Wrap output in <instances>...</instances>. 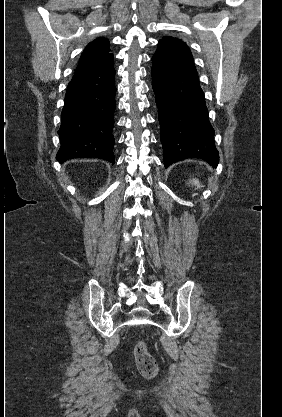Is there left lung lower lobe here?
Returning <instances> with one entry per match:
<instances>
[{
	"mask_svg": "<svg viewBox=\"0 0 282 417\" xmlns=\"http://www.w3.org/2000/svg\"><path fill=\"white\" fill-rule=\"evenodd\" d=\"M152 61L165 168L187 158L216 167L214 129L189 48L184 42L160 40Z\"/></svg>",
	"mask_w": 282,
	"mask_h": 417,
	"instance_id": "obj_1",
	"label": "left lung lower lobe"
}]
</instances>
